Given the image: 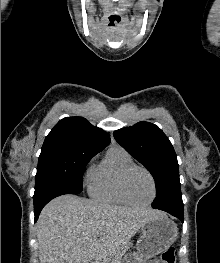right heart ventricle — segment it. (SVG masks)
Returning a JSON list of instances; mask_svg holds the SVG:
<instances>
[{"label":"right heart ventricle","mask_w":220,"mask_h":263,"mask_svg":"<svg viewBox=\"0 0 220 263\" xmlns=\"http://www.w3.org/2000/svg\"><path fill=\"white\" fill-rule=\"evenodd\" d=\"M134 165L132 157L122 148L111 147L103 160L91 170L87 180L89 195L100 202L128 205L120 189L123 172Z\"/></svg>","instance_id":"obj_1"}]
</instances>
